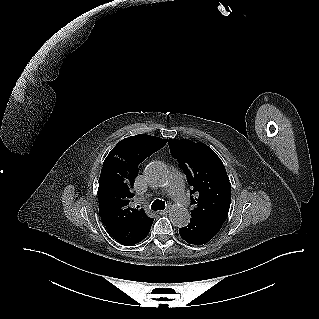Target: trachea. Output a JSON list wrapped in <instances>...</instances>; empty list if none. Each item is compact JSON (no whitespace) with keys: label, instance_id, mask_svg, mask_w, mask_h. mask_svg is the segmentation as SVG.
Instances as JSON below:
<instances>
[{"label":"trachea","instance_id":"trachea-1","mask_svg":"<svg viewBox=\"0 0 319 319\" xmlns=\"http://www.w3.org/2000/svg\"><path fill=\"white\" fill-rule=\"evenodd\" d=\"M165 207V202L159 199H156L151 205V209L154 211L163 210Z\"/></svg>","mask_w":319,"mask_h":319}]
</instances>
